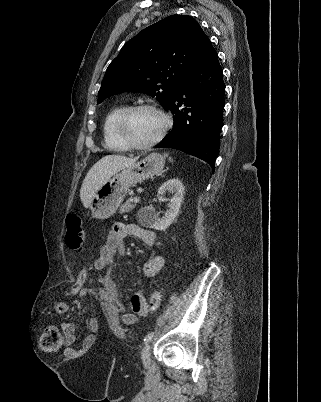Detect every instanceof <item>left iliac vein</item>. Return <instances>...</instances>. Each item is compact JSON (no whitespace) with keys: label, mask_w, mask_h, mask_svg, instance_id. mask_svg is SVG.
<instances>
[{"label":"left iliac vein","mask_w":321,"mask_h":402,"mask_svg":"<svg viewBox=\"0 0 321 402\" xmlns=\"http://www.w3.org/2000/svg\"><path fill=\"white\" fill-rule=\"evenodd\" d=\"M141 359L145 366L150 363V344L145 345L141 352Z\"/></svg>","instance_id":"4c4485c4"}]
</instances>
